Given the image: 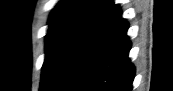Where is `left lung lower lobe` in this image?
<instances>
[{"mask_svg": "<svg viewBox=\"0 0 173 91\" xmlns=\"http://www.w3.org/2000/svg\"><path fill=\"white\" fill-rule=\"evenodd\" d=\"M119 5L100 19L71 55L51 91H131L135 67Z\"/></svg>", "mask_w": 173, "mask_h": 91, "instance_id": "1", "label": "left lung lower lobe"}]
</instances>
